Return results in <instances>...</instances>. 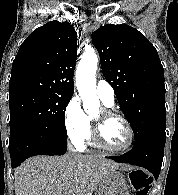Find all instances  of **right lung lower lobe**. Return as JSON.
I'll return each instance as SVG.
<instances>
[{"mask_svg": "<svg viewBox=\"0 0 178 195\" xmlns=\"http://www.w3.org/2000/svg\"><path fill=\"white\" fill-rule=\"evenodd\" d=\"M67 150V138L53 127L14 129L10 131L9 152L13 168L35 155H62Z\"/></svg>", "mask_w": 178, "mask_h": 195, "instance_id": "98d812e1", "label": "right lung lower lobe"}]
</instances>
